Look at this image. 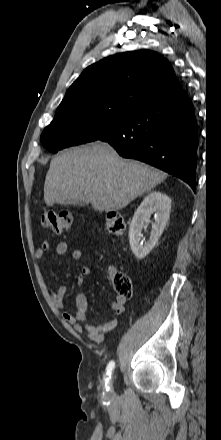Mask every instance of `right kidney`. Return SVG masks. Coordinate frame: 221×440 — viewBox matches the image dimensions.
I'll use <instances>...</instances> for the list:
<instances>
[{
  "mask_svg": "<svg viewBox=\"0 0 221 440\" xmlns=\"http://www.w3.org/2000/svg\"><path fill=\"white\" fill-rule=\"evenodd\" d=\"M170 210L171 199L160 191H153L144 198L135 211L129 228V243L136 258L143 259L154 248L169 219ZM152 214H154L155 222L152 223L149 240L142 244L140 243L141 231L144 224L151 222Z\"/></svg>",
  "mask_w": 221,
  "mask_h": 440,
  "instance_id": "1",
  "label": "right kidney"
}]
</instances>
